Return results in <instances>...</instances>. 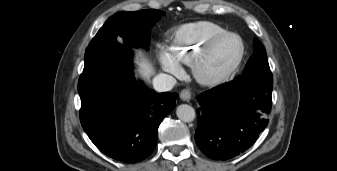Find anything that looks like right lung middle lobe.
Returning a JSON list of instances; mask_svg holds the SVG:
<instances>
[{
  "label": "right lung middle lobe",
  "instance_id": "1",
  "mask_svg": "<svg viewBox=\"0 0 337 171\" xmlns=\"http://www.w3.org/2000/svg\"><path fill=\"white\" fill-rule=\"evenodd\" d=\"M163 15H165L163 11L154 9L122 11L114 14L88 45L85 58L102 47L122 45L117 39H123L124 43L129 46L147 48L150 43V30Z\"/></svg>",
  "mask_w": 337,
  "mask_h": 171
}]
</instances>
